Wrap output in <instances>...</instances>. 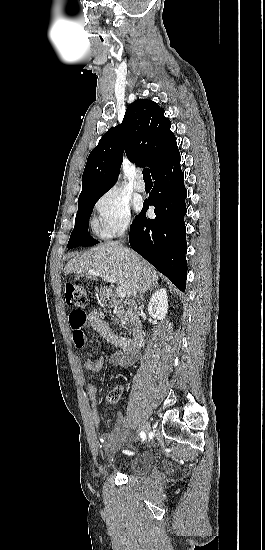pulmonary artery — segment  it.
<instances>
[{"label":"pulmonary artery","mask_w":265,"mask_h":550,"mask_svg":"<svg viewBox=\"0 0 265 550\" xmlns=\"http://www.w3.org/2000/svg\"><path fill=\"white\" fill-rule=\"evenodd\" d=\"M139 178H141V174H139L138 176ZM135 189L136 191L138 192H144L145 189H146V186H145V183L143 182V180L139 179L136 184H135Z\"/></svg>","instance_id":"1"}]
</instances>
